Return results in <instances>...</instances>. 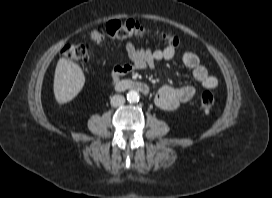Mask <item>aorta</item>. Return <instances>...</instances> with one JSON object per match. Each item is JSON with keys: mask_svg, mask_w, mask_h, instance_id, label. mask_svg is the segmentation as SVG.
I'll return each instance as SVG.
<instances>
[{"mask_svg": "<svg viewBox=\"0 0 272 198\" xmlns=\"http://www.w3.org/2000/svg\"><path fill=\"white\" fill-rule=\"evenodd\" d=\"M127 100L131 103H135L139 101V93L135 90H130L127 93Z\"/></svg>", "mask_w": 272, "mask_h": 198, "instance_id": "obj_1", "label": "aorta"}]
</instances>
